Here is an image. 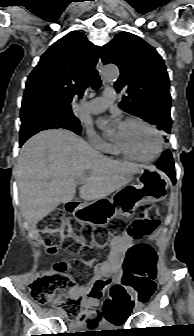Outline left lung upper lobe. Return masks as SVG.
<instances>
[{
  "label": "left lung upper lobe",
  "instance_id": "obj_1",
  "mask_svg": "<svg viewBox=\"0 0 194 336\" xmlns=\"http://www.w3.org/2000/svg\"><path fill=\"white\" fill-rule=\"evenodd\" d=\"M104 64L120 69L117 92L127 96L119 103L126 112L138 116L167 133L171 131V96L164 61L155 48L140 37L122 32L101 50Z\"/></svg>",
  "mask_w": 194,
  "mask_h": 336
}]
</instances>
